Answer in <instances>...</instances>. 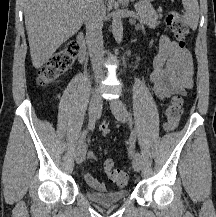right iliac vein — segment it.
<instances>
[{
	"instance_id": "obj_1",
	"label": "right iliac vein",
	"mask_w": 216,
	"mask_h": 217,
	"mask_svg": "<svg viewBox=\"0 0 216 217\" xmlns=\"http://www.w3.org/2000/svg\"><path fill=\"white\" fill-rule=\"evenodd\" d=\"M102 99L99 91H96L91 98L89 105V120L96 119L99 111L101 110ZM86 156V145L84 142L80 143L75 154V159L78 164L82 163Z\"/></svg>"
}]
</instances>
